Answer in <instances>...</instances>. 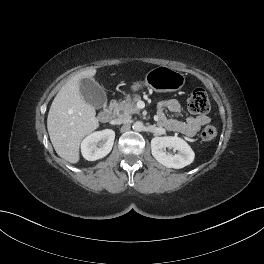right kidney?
<instances>
[{"label": "right kidney", "instance_id": "right-kidney-1", "mask_svg": "<svg viewBox=\"0 0 264 264\" xmlns=\"http://www.w3.org/2000/svg\"><path fill=\"white\" fill-rule=\"evenodd\" d=\"M115 132L111 129L94 132L81 143V152L88 161H95L107 156L112 150Z\"/></svg>", "mask_w": 264, "mask_h": 264}]
</instances>
